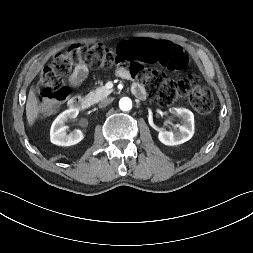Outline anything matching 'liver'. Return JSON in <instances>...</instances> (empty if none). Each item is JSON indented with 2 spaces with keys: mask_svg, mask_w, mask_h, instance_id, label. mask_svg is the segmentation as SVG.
<instances>
[{
  "mask_svg": "<svg viewBox=\"0 0 253 253\" xmlns=\"http://www.w3.org/2000/svg\"><path fill=\"white\" fill-rule=\"evenodd\" d=\"M38 100L34 93V90L31 88L28 93L27 103H26V117L27 122L32 126L35 122V119L38 116Z\"/></svg>",
  "mask_w": 253,
  "mask_h": 253,
  "instance_id": "1",
  "label": "liver"
}]
</instances>
